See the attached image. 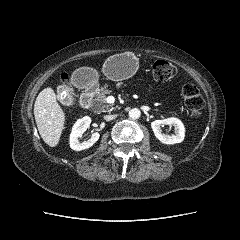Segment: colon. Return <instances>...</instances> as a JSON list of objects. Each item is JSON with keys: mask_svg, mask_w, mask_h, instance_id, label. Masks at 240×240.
<instances>
[{"mask_svg": "<svg viewBox=\"0 0 240 240\" xmlns=\"http://www.w3.org/2000/svg\"><path fill=\"white\" fill-rule=\"evenodd\" d=\"M177 68L170 62L165 60H157L152 67V74L156 81L165 82L173 79L177 75ZM62 82L68 84L67 74L61 76ZM181 96L185 106L193 116L201 114L204 107V99L199 89L191 83L185 84L181 91Z\"/></svg>", "mask_w": 240, "mask_h": 240, "instance_id": "1", "label": "colon"}]
</instances>
